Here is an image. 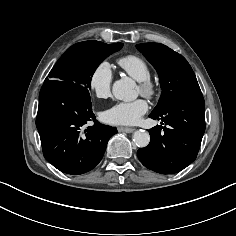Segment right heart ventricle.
<instances>
[{
    "instance_id": "1",
    "label": "right heart ventricle",
    "mask_w": 236,
    "mask_h": 236,
    "mask_svg": "<svg viewBox=\"0 0 236 236\" xmlns=\"http://www.w3.org/2000/svg\"><path fill=\"white\" fill-rule=\"evenodd\" d=\"M119 66L131 77L138 81L149 79L150 68L146 61L137 55H126L118 59Z\"/></svg>"
}]
</instances>
